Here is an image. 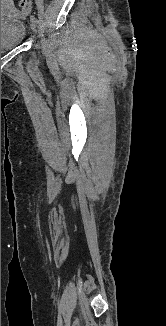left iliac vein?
Here are the masks:
<instances>
[{
	"instance_id": "left-iliac-vein-1",
	"label": "left iliac vein",
	"mask_w": 166,
	"mask_h": 326,
	"mask_svg": "<svg viewBox=\"0 0 166 326\" xmlns=\"http://www.w3.org/2000/svg\"><path fill=\"white\" fill-rule=\"evenodd\" d=\"M30 26H31L32 31H36V29H37V19H36V17L34 15L30 16Z\"/></svg>"
}]
</instances>
